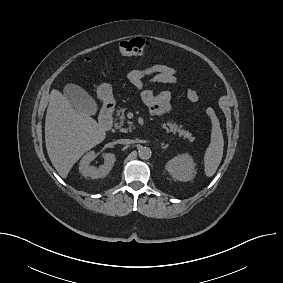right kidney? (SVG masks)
<instances>
[{
  "label": "right kidney",
  "mask_w": 283,
  "mask_h": 283,
  "mask_svg": "<svg viewBox=\"0 0 283 283\" xmlns=\"http://www.w3.org/2000/svg\"><path fill=\"white\" fill-rule=\"evenodd\" d=\"M96 157L94 151L88 152L84 155L79 164V172L85 177H90L92 179L104 178L107 174H109L112 169L114 162L116 161V157L112 153H106L103 155L104 164L99 168L90 166V162Z\"/></svg>",
  "instance_id": "ca27d5eb"
}]
</instances>
